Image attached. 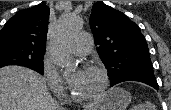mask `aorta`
<instances>
[{
  "label": "aorta",
  "instance_id": "762f6f07",
  "mask_svg": "<svg viewBox=\"0 0 171 110\" xmlns=\"http://www.w3.org/2000/svg\"><path fill=\"white\" fill-rule=\"evenodd\" d=\"M82 27V21L78 16L63 15L56 26L50 42V53L53 62L65 71L75 68V63L68 51L67 45L71 38Z\"/></svg>",
  "mask_w": 171,
  "mask_h": 110
}]
</instances>
